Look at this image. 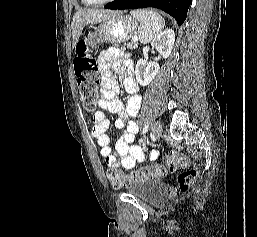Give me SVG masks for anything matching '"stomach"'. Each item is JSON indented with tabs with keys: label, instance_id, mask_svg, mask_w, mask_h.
I'll use <instances>...</instances> for the list:
<instances>
[{
	"label": "stomach",
	"instance_id": "stomach-1",
	"mask_svg": "<svg viewBox=\"0 0 257 237\" xmlns=\"http://www.w3.org/2000/svg\"><path fill=\"white\" fill-rule=\"evenodd\" d=\"M137 27L138 23L134 18L118 13L94 27L86 41L92 47H97L103 43L126 42L131 39Z\"/></svg>",
	"mask_w": 257,
	"mask_h": 237
}]
</instances>
